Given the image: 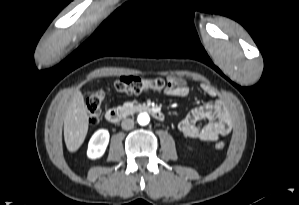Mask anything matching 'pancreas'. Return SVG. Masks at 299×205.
Instances as JSON below:
<instances>
[{"mask_svg":"<svg viewBox=\"0 0 299 205\" xmlns=\"http://www.w3.org/2000/svg\"><path fill=\"white\" fill-rule=\"evenodd\" d=\"M134 104L131 102H125L124 107H132Z\"/></svg>","mask_w":299,"mask_h":205,"instance_id":"obj_1","label":"pancreas"}]
</instances>
